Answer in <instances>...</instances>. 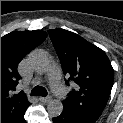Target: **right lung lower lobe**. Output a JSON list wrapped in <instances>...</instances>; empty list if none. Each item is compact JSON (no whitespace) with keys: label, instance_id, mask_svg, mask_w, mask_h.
Wrapping results in <instances>:
<instances>
[{"label":"right lung lower lobe","instance_id":"obj_1","mask_svg":"<svg viewBox=\"0 0 123 123\" xmlns=\"http://www.w3.org/2000/svg\"><path fill=\"white\" fill-rule=\"evenodd\" d=\"M1 123H26V121L24 119V115H22L17 120H3V121H1Z\"/></svg>","mask_w":123,"mask_h":123}]
</instances>
